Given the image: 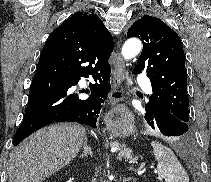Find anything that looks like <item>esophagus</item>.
Masks as SVG:
<instances>
[{"instance_id": "1", "label": "esophagus", "mask_w": 211, "mask_h": 182, "mask_svg": "<svg viewBox=\"0 0 211 182\" xmlns=\"http://www.w3.org/2000/svg\"><path fill=\"white\" fill-rule=\"evenodd\" d=\"M126 74L125 63L118 55L112 72V90L109 94V100L112 105L118 104L124 99L123 93L118 89Z\"/></svg>"}]
</instances>
